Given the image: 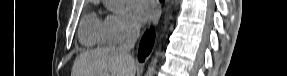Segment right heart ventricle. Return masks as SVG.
<instances>
[{"label":"right heart ventricle","instance_id":"e07e8e85","mask_svg":"<svg viewBox=\"0 0 287 76\" xmlns=\"http://www.w3.org/2000/svg\"><path fill=\"white\" fill-rule=\"evenodd\" d=\"M79 38L87 46L111 43L108 39L104 21L99 20L94 13L89 14L82 22Z\"/></svg>","mask_w":287,"mask_h":76}]
</instances>
